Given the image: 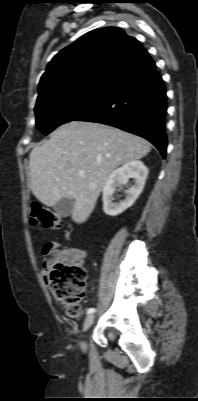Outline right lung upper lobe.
Returning <instances> with one entry per match:
<instances>
[{
  "label": "right lung upper lobe",
  "mask_w": 198,
  "mask_h": 401,
  "mask_svg": "<svg viewBox=\"0 0 198 401\" xmlns=\"http://www.w3.org/2000/svg\"><path fill=\"white\" fill-rule=\"evenodd\" d=\"M148 56L145 48L117 27L93 30L61 50L42 75L38 99L86 84H106Z\"/></svg>",
  "instance_id": "cb5924a9"
}]
</instances>
